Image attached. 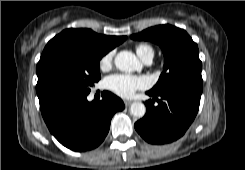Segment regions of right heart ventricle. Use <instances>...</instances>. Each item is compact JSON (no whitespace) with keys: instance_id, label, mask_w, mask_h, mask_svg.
<instances>
[{"instance_id":"right-heart-ventricle-1","label":"right heart ventricle","mask_w":245,"mask_h":170,"mask_svg":"<svg viewBox=\"0 0 245 170\" xmlns=\"http://www.w3.org/2000/svg\"><path fill=\"white\" fill-rule=\"evenodd\" d=\"M135 51L143 61L148 58H153L154 56L153 48L146 43L137 44L135 46Z\"/></svg>"}]
</instances>
